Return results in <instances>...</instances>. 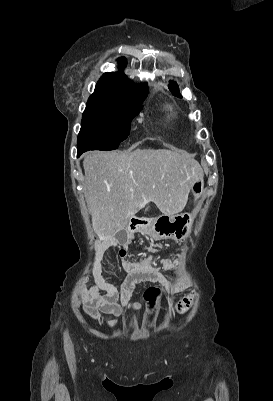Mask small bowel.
I'll return each instance as SVG.
<instances>
[{
	"mask_svg": "<svg viewBox=\"0 0 273 401\" xmlns=\"http://www.w3.org/2000/svg\"><path fill=\"white\" fill-rule=\"evenodd\" d=\"M116 245V242L111 241L105 242L98 247L92 266L94 284L86 292V302H83L86 314L109 329L116 327L117 320H106L101 314L122 317L126 313L135 315L142 310V303L131 302V297L137 284L143 282L159 283L169 293L179 291L187 285L185 280H167L158 269L159 264H162L164 271L176 269L177 259L152 257L134 262L126 259L127 252L125 249H120L118 257L122 260V267L129 276L118 289L113 283L105 279L102 266L105 251ZM179 258L180 254H178ZM193 297L194 293H191L178 303V313H184L189 308Z\"/></svg>",
	"mask_w": 273,
	"mask_h": 401,
	"instance_id": "c3829d8e",
	"label": "small bowel"
}]
</instances>
